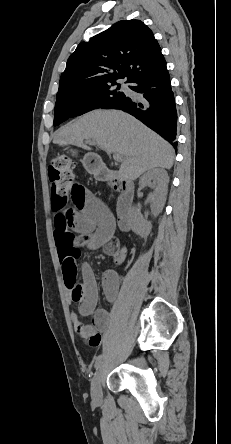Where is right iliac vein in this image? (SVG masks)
<instances>
[{"instance_id":"63e3f726","label":"right iliac vein","mask_w":231,"mask_h":444,"mask_svg":"<svg viewBox=\"0 0 231 444\" xmlns=\"http://www.w3.org/2000/svg\"><path fill=\"white\" fill-rule=\"evenodd\" d=\"M102 373H103V366L100 363L98 370L95 373L91 382V397L95 403L102 402V389H101Z\"/></svg>"}]
</instances>
